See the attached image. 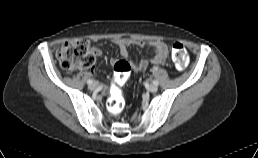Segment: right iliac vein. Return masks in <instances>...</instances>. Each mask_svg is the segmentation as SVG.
Masks as SVG:
<instances>
[{
	"label": "right iliac vein",
	"instance_id": "obj_1",
	"mask_svg": "<svg viewBox=\"0 0 258 158\" xmlns=\"http://www.w3.org/2000/svg\"><path fill=\"white\" fill-rule=\"evenodd\" d=\"M98 87V84L96 82L89 85L90 90H95Z\"/></svg>",
	"mask_w": 258,
	"mask_h": 158
}]
</instances>
